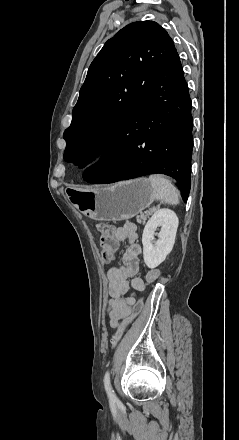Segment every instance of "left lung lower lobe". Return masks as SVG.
<instances>
[{"label": "left lung lower lobe", "instance_id": "1", "mask_svg": "<svg viewBox=\"0 0 239 440\" xmlns=\"http://www.w3.org/2000/svg\"><path fill=\"white\" fill-rule=\"evenodd\" d=\"M193 119L191 99L175 49L132 113L114 131L102 159L84 173L90 183L107 184L160 173L190 192Z\"/></svg>", "mask_w": 239, "mask_h": 440}]
</instances>
